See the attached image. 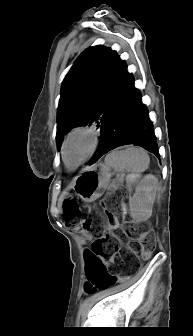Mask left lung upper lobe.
I'll return each instance as SVG.
<instances>
[{"label":"left lung upper lobe","instance_id":"left-lung-upper-lobe-1","mask_svg":"<svg viewBox=\"0 0 193 336\" xmlns=\"http://www.w3.org/2000/svg\"><path fill=\"white\" fill-rule=\"evenodd\" d=\"M127 72L115 51L101 45L87 48L76 59L61 88L57 114V145L78 126L101 127L113 107Z\"/></svg>","mask_w":193,"mask_h":336}]
</instances>
